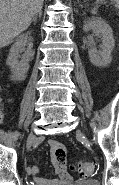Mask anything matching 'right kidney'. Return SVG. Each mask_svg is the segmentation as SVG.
Returning a JSON list of instances; mask_svg holds the SVG:
<instances>
[{
    "instance_id": "obj_1",
    "label": "right kidney",
    "mask_w": 119,
    "mask_h": 185,
    "mask_svg": "<svg viewBox=\"0 0 119 185\" xmlns=\"http://www.w3.org/2000/svg\"><path fill=\"white\" fill-rule=\"evenodd\" d=\"M31 32L20 35L16 42L10 49L6 64L10 67L12 75L10 79L12 81H23L26 78V74L29 70V64L27 60L19 61V51L24 48L28 42V35Z\"/></svg>"
}]
</instances>
